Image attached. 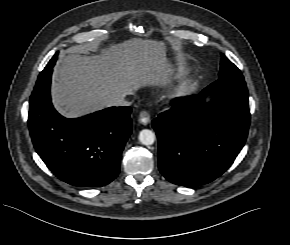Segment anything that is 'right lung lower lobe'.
I'll return each mask as SVG.
<instances>
[{"instance_id": "98d812e1", "label": "right lung lower lobe", "mask_w": 290, "mask_h": 245, "mask_svg": "<svg viewBox=\"0 0 290 245\" xmlns=\"http://www.w3.org/2000/svg\"><path fill=\"white\" fill-rule=\"evenodd\" d=\"M52 67L38 76L29 102L28 125L36 152L62 181L79 187H101L114 180L132 132L130 107H110L67 119L50 98Z\"/></svg>"}]
</instances>
